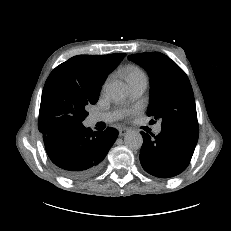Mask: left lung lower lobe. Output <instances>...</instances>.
Returning <instances> with one entry per match:
<instances>
[{"label":"left lung lower lobe","instance_id":"0a47b994","mask_svg":"<svg viewBox=\"0 0 231 231\" xmlns=\"http://www.w3.org/2000/svg\"><path fill=\"white\" fill-rule=\"evenodd\" d=\"M141 134L143 145L140 162L143 169L153 176L170 178L183 172L189 165L199 131L162 127L157 136Z\"/></svg>","mask_w":231,"mask_h":231}]
</instances>
